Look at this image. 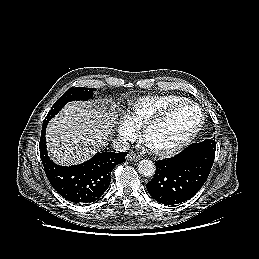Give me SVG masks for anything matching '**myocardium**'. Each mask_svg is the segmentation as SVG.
<instances>
[{"mask_svg":"<svg viewBox=\"0 0 259 259\" xmlns=\"http://www.w3.org/2000/svg\"><path fill=\"white\" fill-rule=\"evenodd\" d=\"M186 106L195 107L199 112V121H198L197 125L194 127V129L189 134L184 136L182 139H180L174 143L167 144V145H157V144L152 143L151 138H150V134H151L152 130L156 126H158L162 122H164L175 111H177L183 107H186ZM204 121H205V115H204L203 109L197 103L190 101V100H186V101H183V102H180V103H177V104H174V105L168 107L167 109H165L164 111H162L161 113H159L158 115H156L155 117H153L152 119L147 121L143 126L142 140H143L146 148L151 153L158 155V156H170V155H173L176 152L184 149L196 138V136L199 134V132L201 131V129L204 125Z\"/></svg>","mask_w":259,"mask_h":259,"instance_id":"f54148a6","label":"myocardium"}]
</instances>
